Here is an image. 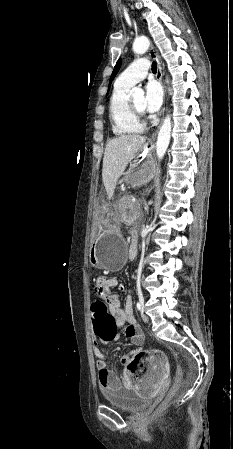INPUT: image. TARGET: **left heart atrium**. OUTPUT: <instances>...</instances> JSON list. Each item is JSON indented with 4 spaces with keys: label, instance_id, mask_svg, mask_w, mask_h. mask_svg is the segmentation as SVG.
I'll list each match as a JSON object with an SVG mask.
<instances>
[{
    "label": "left heart atrium",
    "instance_id": "left-heart-atrium-1",
    "mask_svg": "<svg viewBox=\"0 0 233 449\" xmlns=\"http://www.w3.org/2000/svg\"><path fill=\"white\" fill-rule=\"evenodd\" d=\"M145 110L149 113L157 112L163 101L161 86L156 81H149L145 88Z\"/></svg>",
    "mask_w": 233,
    "mask_h": 449
}]
</instances>
